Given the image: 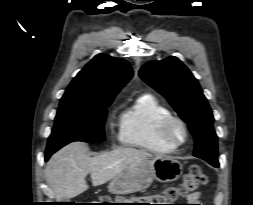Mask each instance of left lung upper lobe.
<instances>
[{
  "label": "left lung upper lobe",
  "instance_id": "left-lung-upper-lobe-1",
  "mask_svg": "<svg viewBox=\"0 0 253 205\" xmlns=\"http://www.w3.org/2000/svg\"><path fill=\"white\" fill-rule=\"evenodd\" d=\"M139 76L161 93L188 124L195 139L194 156L218 167L213 114L199 83L188 68L171 56L146 63Z\"/></svg>",
  "mask_w": 253,
  "mask_h": 205
}]
</instances>
